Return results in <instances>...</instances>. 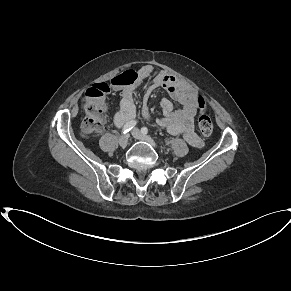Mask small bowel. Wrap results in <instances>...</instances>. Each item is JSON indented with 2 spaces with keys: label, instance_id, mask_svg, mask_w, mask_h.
<instances>
[{
  "label": "small bowel",
  "instance_id": "obj_1",
  "mask_svg": "<svg viewBox=\"0 0 291 291\" xmlns=\"http://www.w3.org/2000/svg\"><path fill=\"white\" fill-rule=\"evenodd\" d=\"M154 72L152 65L143 66L138 72V80L135 84L123 87L121 91L120 111L113 115V124L115 127H121L127 122L134 119L137 115L134 104V94L138 83L151 76ZM158 88L165 89L170 97L181 104L180 109H174L173 103L168 98H163L160 102L163 114L159 118L153 120L146 109H142L140 117L147 122H155L156 124L166 127L170 134H182L184 139L193 147H201L202 140L194 130V117L197 112L196 91L187 82L182 81L175 76L166 72L158 73L148 91Z\"/></svg>",
  "mask_w": 291,
  "mask_h": 291
}]
</instances>
